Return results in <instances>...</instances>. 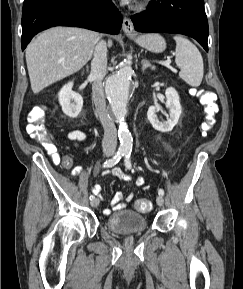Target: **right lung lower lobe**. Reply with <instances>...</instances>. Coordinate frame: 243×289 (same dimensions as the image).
<instances>
[{
    "instance_id": "1",
    "label": "right lung lower lobe",
    "mask_w": 243,
    "mask_h": 289,
    "mask_svg": "<svg viewBox=\"0 0 243 289\" xmlns=\"http://www.w3.org/2000/svg\"><path fill=\"white\" fill-rule=\"evenodd\" d=\"M122 21L121 13L111 0H24L22 50L38 32L53 26L118 34Z\"/></svg>"
}]
</instances>
